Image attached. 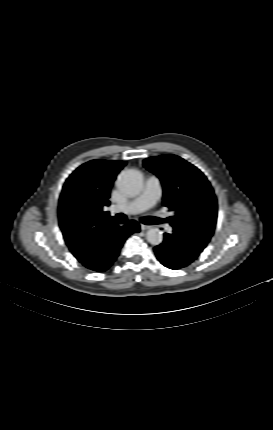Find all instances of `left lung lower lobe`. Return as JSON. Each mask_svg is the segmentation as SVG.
<instances>
[{
  "label": "left lung lower lobe",
  "mask_w": 273,
  "mask_h": 430,
  "mask_svg": "<svg viewBox=\"0 0 273 430\" xmlns=\"http://www.w3.org/2000/svg\"><path fill=\"white\" fill-rule=\"evenodd\" d=\"M158 260L167 268L180 269L192 263L201 252L179 242L175 233L165 234L162 244L154 248Z\"/></svg>",
  "instance_id": "0a47b994"
}]
</instances>
